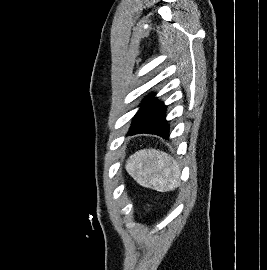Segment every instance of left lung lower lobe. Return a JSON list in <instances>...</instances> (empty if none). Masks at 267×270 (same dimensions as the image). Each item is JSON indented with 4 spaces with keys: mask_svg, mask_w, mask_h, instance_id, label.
Here are the masks:
<instances>
[{
    "mask_svg": "<svg viewBox=\"0 0 267 270\" xmlns=\"http://www.w3.org/2000/svg\"><path fill=\"white\" fill-rule=\"evenodd\" d=\"M140 133L155 134L165 139L169 138L166 106L163 102L155 101L129 129L128 135L131 136Z\"/></svg>",
    "mask_w": 267,
    "mask_h": 270,
    "instance_id": "obj_1",
    "label": "left lung lower lobe"
}]
</instances>
